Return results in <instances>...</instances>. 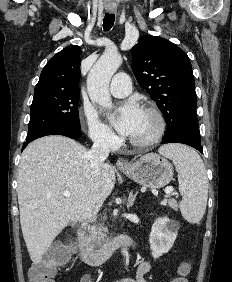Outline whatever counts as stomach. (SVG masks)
Listing matches in <instances>:
<instances>
[{
	"mask_svg": "<svg viewBox=\"0 0 232 282\" xmlns=\"http://www.w3.org/2000/svg\"><path fill=\"white\" fill-rule=\"evenodd\" d=\"M121 171L130 179L149 188L164 187L173 178L172 165L155 153L141 156L129 169Z\"/></svg>",
	"mask_w": 232,
	"mask_h": 282,
	"instance_id": "stomach-1",
	"label": "stomach"
}]
</instances>
